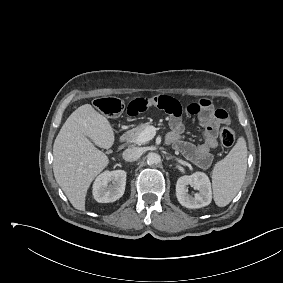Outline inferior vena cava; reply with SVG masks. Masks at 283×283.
I'll return each instance as SVG.
<instances>
[{"label": "inferior vena cava", "instance_id": "obj_1", "mask_svg": "<svg viewBox=\"0 0 283 283\" xmlns=\"http://www.w3.org/2000/svg\"><path fill=\"white\" fill-rule=\"evenodd\" d=\"M141 155L142 151L140 148L137 147H130L126 149L122 154L123 159L128 162L136 161Z\"/></svg>", "mask_w": 283, "mask_h": 283}]
</instances>
